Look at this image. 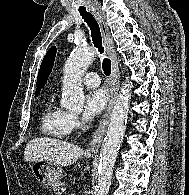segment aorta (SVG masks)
Here are the masks:
<instances>
[{"label": "aorta", "instance_id": "aorta-1", "mask_svg": "<svg viewBox=\"0 0 189 195\" xmlns=\"http://www.w3.org/2000/svg\"><path fill=\"white\" fill-rule=\"evenodd\" d=\"M95 53L91 47L78 45L66 60L61 100L64 108L71 111H82L85 102L82 77L93 62ZM131 88L132 83L126 79L112 111L100 153L96 195H107L111 185L112 170L126 130Z\"/></svg>", "mask_w": 189, "mask_h": 195}]
</instances>
